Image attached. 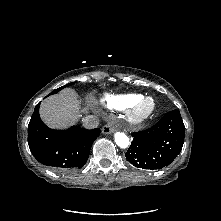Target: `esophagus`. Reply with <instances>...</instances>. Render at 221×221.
Masks as SVG:
<instances>
[{"label":"esophagus","instance_id":"obj_1","mask_svg":"<svg viewBox=\"0 0 221 221\" xmlns=\"http://www.w3.org/2000/svg\"><path fill=\"white\" fill-rule=\"evenodd\" d=\"M116 129H117L116 125L113 122H110L102 128V133L103 134H111V133L115 132Z\"/></svg>","mask_w":221,"mask_h":221}]
</instances>
